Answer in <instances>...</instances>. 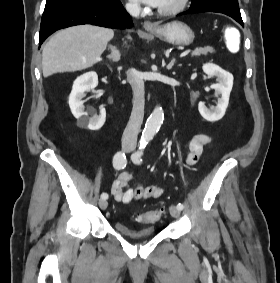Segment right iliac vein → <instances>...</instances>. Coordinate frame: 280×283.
<instances>
[{
	"label": "right iliac vein",
	"instance_id": "right-iliac-vein-1",
	"mask_svg": "<svg viewBox=\"0 0 280 283\" xmlns=\"http://www.w3.org/2000/svg\"><path fill=\"white\" fill-rule=\"evenodd\" d=\"M123 150H125V151H130V150H131V146L125 144V145L123 146ZM99 206H100V208H101L102 210H105V209L107 208V206H108V202H107L106 200H104V199H101V200L99 201Z\"/></svg>",
	"mask_w": 280,
	"mask_h": 283
}]
</instances>
